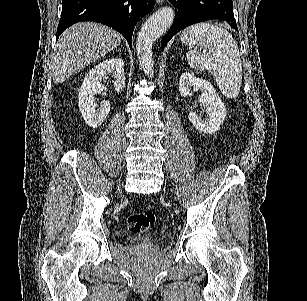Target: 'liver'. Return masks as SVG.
<instances>
[{"mask_svg":"<svg viewBox=\"0 0 307 301\" xmlns=\"http://www.w3.org/2000/svg\"><path fill=\"white\" fill-rule=\"evenodd\" d=\"M120 32L99 22H76L66 28L58 38L51 56L54 84L95 62L121 42Z\"/></svg>","mask_w":307,"mask_h":301,"instance_id":"1","label":"liver"}]
</instances>
